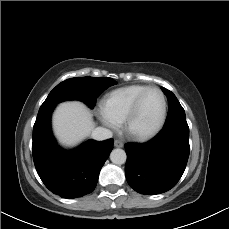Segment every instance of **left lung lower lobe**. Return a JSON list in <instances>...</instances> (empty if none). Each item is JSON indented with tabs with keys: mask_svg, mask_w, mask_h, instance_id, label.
<instances>
[{
	"mask_svg": "<svg viewBox=\"0 0 229 229\" xmlns=\"http://www.w3.org/2000/svg\"><path fill=\"white\" fill-rule=\"evenodd\" d=\"M125 175L135 191L145 195L164 193L181 178L189 157V127L186 120L165 125L151 141L125 146Z\"/></svg>",
	"mask_w": 229,
	"mask_h": 229,
	"instance_id": "0a47b994",
	"label": "left lung lower lobe"
}]
</instances>
